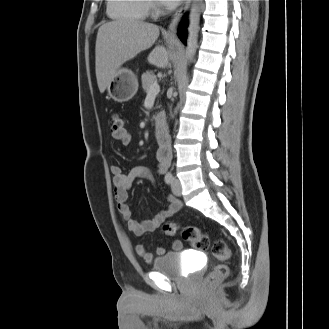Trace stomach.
I'll list each match as a JSON object with an SVG mask.
<instances>
[{
    "label": "stomach",
    "mask_w": 329,
    "mask_h": 329,
    "mask_svg": "<svg viewBox=\"0 0 329 329\" xmlns=\"http://www.w3.org/2000/svg\"><path fill=\"white\" fill-rule=\"evenodd\" d=\"M138 90L136 75L129 69L122 68L107 85V92L110 98L116 102L129 101Z\"/></svg>",
    "instance_id": "obj_1"
}]
</instances>
